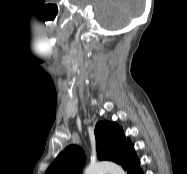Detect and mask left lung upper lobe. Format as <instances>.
<instances>
[{
    "label": "left lung upper lobe",
    "mask_w": 187,
    "mask_h": 174,
    "mask_svg": "<svg viewBox=\"0 0 187 174\" xmlns=\"http://www.w3.org/2000/svg\"><path fill=\"white\" fill-rule=\"evenodd\" d=\"M97 157L120 164L128 174L140 164L134 145L125 141L123 129L115 122H98L95 126ZM85 156L80 147L70 145L61 152L45 174H81Z\"/></svg>",
    "instance_id": "1"
}]
</instances>
